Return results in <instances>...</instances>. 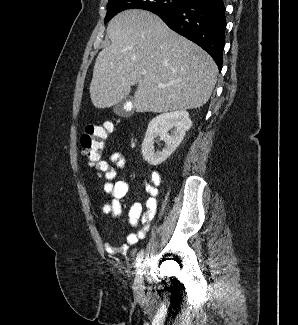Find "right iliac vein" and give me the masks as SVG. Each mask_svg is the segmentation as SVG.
<instances>
[{
	"label": "right iliac vein",
	"mask_w": 298,
	"mask_h": 325,
	"mask_svg": "<svg viewBox=\"0 0 298 325\" xmlns=\"http://www.w3.org/2000/svg\"><path fill=\"white\" fill-rule=\"evenodd\" d=\"M143 283H144L143 269H142V267H140V269L138 270L137 275L135 277L134 284H133L134 292L137 295H141L143 293V289H144Z\"/></svg>",
	"instance_id": "obj_1"
}]
</instances>
